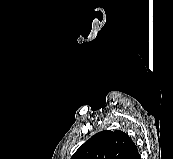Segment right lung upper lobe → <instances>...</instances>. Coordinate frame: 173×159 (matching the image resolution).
I'll list each match as a JSON object with an SVG mask.
<instances>
[{"mask_svg":"<svg viewBox=\"0 0 173 159\" xmlns=\"http://www.w3.org/2000/svg\"><path fill=\"white\" fill-rule=\"evenodd\" d=\"M71 159H141V157L127 134L119 130H105L87 140Z\"/></svg>","mask_w":173,"mask_h":159,"instance_id":"right-lung-upper-lobe-1","label":"right lung upper lobe"}]
</instances>
